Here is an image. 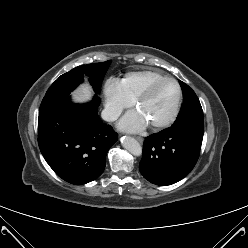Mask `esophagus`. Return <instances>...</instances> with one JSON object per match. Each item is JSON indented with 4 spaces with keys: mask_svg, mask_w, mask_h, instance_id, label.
<instances>
[{
    "mask_svg": "<svg viewBox=\"0 0 248 248\" xmlns=\"http://www.w3.org/2000/svg\"><path fill=\"white\" fill-rule=\"evenodd\" d=\"M135 139L139 142H143V138L139 137V136H136Z\"/></svg>",
    "mask_w": 248,
    "mask_h": 248,
    "instance_id": "esophagus-1",
    "label": "esophagus"
}]
</instances>
